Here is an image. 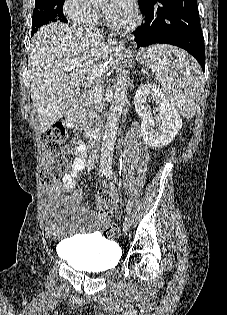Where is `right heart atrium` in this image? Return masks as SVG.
I'll list each match as a JSON object with an SVG mask.
<instances>
[{
  "mask_svg": "<svg viewBox=\"0 0 227 315\" xmlns=\"http://www.w3.org/2000/svg\"><path fill=\"white\" fill-rule=\"evenodd\" d=\"M62 10L71 23L80 27L91 28L100 20V12L90 0H64Z\"/></svg>",
  "mask_w": 227,
  "mask_h": 315,
  "instance_id": "d8ad5b80",
  "label": "right heart atrium"
}]
</instances>
